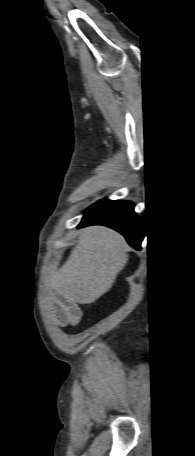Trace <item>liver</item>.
<instances>
[{"mask_svg":"<svg viewBox=\"0 0 195 456\" xmlns=\"http://www.w3.org/2000/svg\"><path fill=\"white\" fill-rule=\"evenodd\" d=\"M126 250L124 237L116 231L102 226L85 228L50 283L73 303H93L109 291L127 264Z\"/></svg>","mask_w":195,"mask_h":456,"instance_id":"obj_1","label":"liver"}]
</instances>
